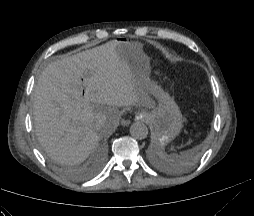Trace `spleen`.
Masks as SVG:
<instances>
[{"label": "spleen", "instance_id": "1", "mask_svg": "<svg viewBox=\"0 0 254 216\" xmlns=\"http://www.w3.org/2000/svg\"><path fill=\"white\" fill-rule=\"evenodd\" d=\"M160 154H161V156L165 159V160H167V161H169V162H173L174 160H175V155L174 154H171V155H168V154H166V153H164V152H160Z\"/></svg>", "mask_w": 254, "mask_h": 216}]
</instances>
